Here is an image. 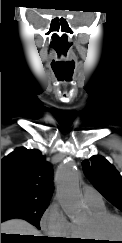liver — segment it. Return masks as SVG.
I'll use <instances>...</instances> for the list:
<instances>
[{"mask_svg": "<svg viewBox=\"0 0 122 243\" xmlns=\"http://www.w3.org/2000/svg\"><path fill=\"white\" fill-rule=\"evenodd\" d=\"M1 233L42 236L34 226L21 219H12L1 223Z\"/></svg>", "mask_w": 122, "mask_h": 243, "instance_id": "6515ba94", "label": "liver"}]
</instances>
